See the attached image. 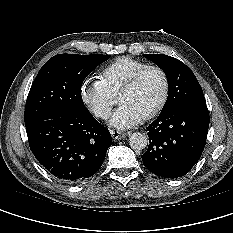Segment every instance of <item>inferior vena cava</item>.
Listing matches in <instances>:
<instances>
[{
	"mask_svg": "<svg viewBox=\"0 0 233 233\" xmlns=\"http://www.w3.org/2000/svg\"><path fill=\"white\" fill-rule=\"evenodd\" d=\"M109 115H110L109 110L108 109H104V108L100 109L98 111V114H97L98 117L103 118V119H107L109 117Z\"/></svg>",
	"mask_w": 233,
	"mask_h": 233,
	"instance_id": "602c4592",
	"label": "inferior vena cava"
}]
</instances>
